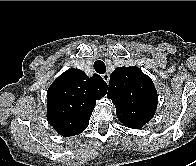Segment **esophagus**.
I'll return each mask as SVG.
<instances>
[{"instance_id":"esophagus-1","label":"esophagus","mask_w":196,"mask_h":166,"mask_svg":"<svg viewBox=\"0 0 196 166\" xmlns=\"http://www.w3.org/2000/svg\"><path fill=\"white\" fill-rule=\"evenodd\" d=\"M102 78L106 83H109L110 75L108 73L103 74Z\"/></svg>"}]
</instances>
